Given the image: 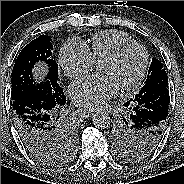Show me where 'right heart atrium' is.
Here are the masks:
<instances>
[{
	"label": "right heart atrium",
	"mask_w": 184,
	"mask_h": 184,
	"mask_svg": "<svg viewBox=\"0 0 184 184\" xmlns=\"http://www.w3.org/2000/svg\"><path fill=\"white\" fill-rule=\"evenodd\" d=\"M58 63L65 75L71 79L79 78L93 67L88 46L77 38H71L63 44Z\"/></svg>",
	"instance_id": "d8ad5b80"
}]
</instances>
